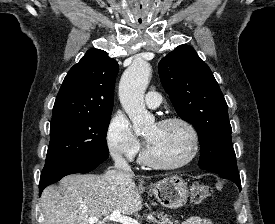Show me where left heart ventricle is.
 Here are the masks:
<instances>
[{"instance_id":"1","label":"left heart ventricle","mask_w":275,"mask_h":224,"mask_svg":"<svg viewBox=\"0 0 275 224\" xmlns=\"http://www.w3.org/2000/svg\"><path fill=\"white\" fill-rule=\"evenodd\" d=\"M152 156L163 163L175 164L185 160L192 148L188 130L179 123H155L145 133Z\"/></svg>"}]
</instances>
